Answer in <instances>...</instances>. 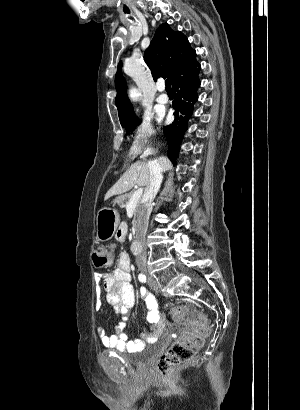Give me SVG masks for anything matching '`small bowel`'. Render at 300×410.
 I'll use <instances>...</instances> for the list:
<instances>
[{"label":"small bowel","mask_w":300,"mask_h":410,"mask_svg":"<svg viewBox=\"0 0 300 410\" xmlns=\"http://www.w3.org/2000/svg\"><path fill=\"white\" fill-rule=\"evenodd\" d=\"M123 236L120 237V240ZM102 288L107 293V302L119 314L120 319L116 325L115 332L107 334L104 327L97 329L98 336L104 347L117 349L122 352L131 353L139 351L145 343L154 342L162 336L166 330V318L159 310L158 302L148 290L142 288L140 296L147 307V321L151 325L149 333L143 334L140 339L132 340L126 333L129 315L134 307L136 292L132 285L130 274V257L122 252L118 259L117 267L107 274L98 275ZM96 308H102V302L96 303Z\"/></svg>","instance_id":"obj_1"}]
</instances>
